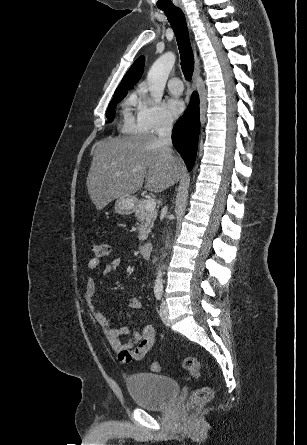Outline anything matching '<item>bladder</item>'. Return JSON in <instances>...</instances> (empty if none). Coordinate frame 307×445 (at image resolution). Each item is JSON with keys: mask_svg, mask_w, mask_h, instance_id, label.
<instances>
[{"mask_svg": "<svg viewBox=\"0 0 307 445\" xmlns=\"http://www.w3.org/2000/svg\"><path fill=\"white\" fill-rule=\"evenodd\" d=\"M125 383L133 402L148 410L166 409L180 391V385L175 379L155 373H135L127 377Z\"/></svg>", "mask_w": 307, "mask_h": 445, "instance_id": "31cf9c89", "label": "bladder"}]
</instances>
